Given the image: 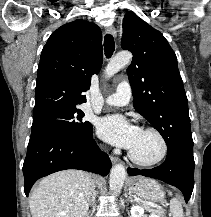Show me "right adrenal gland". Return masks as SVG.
<instances>
[{"instance_id": "1", "label": "right adrenal gland", "mask_w": 211, "mask_h": 217, "mask_svg": "<svg viewBox=\"0 0 211 217\" xmlns=\"http://www.w3.org/2000/svg\"><path fill=\"white\" fill-rule=\"evenodd\" d=\"M95 197H96V191H95V186H94L93 195H92L91 200L89 201V205H90V206L93 205L94 200H95Z\"/></svg>"}]
</instances>
